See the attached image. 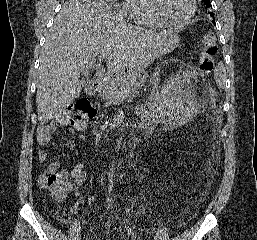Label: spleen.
Segmentation results:
<instances>
[{"instance_id": "obj_1", "label": "spleen", "mask_w": 257, "mask_h": 240, "mask_svg": "<svg viewBox=\"0 0 257 240\" xmlns=\"http://www.w3.org/2000/svg\"><path fill=\"white\" fill-rule=\"evenodd\" d=\"M225 71V68H224V65L222 63H219L218 64V67L217 69L215 70V81L216 83L218 84L219 87H223L224 86V72Z\"/></svg>"}]
</instances>
